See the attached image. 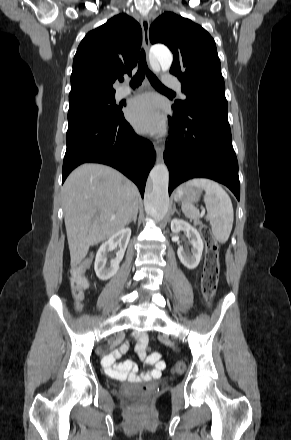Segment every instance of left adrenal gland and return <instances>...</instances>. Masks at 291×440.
I'll list each match as a JSON object with an SVG mask.
<instances>
[{
	"label": "left adrenal gland",
	"instance_id": "a2214340",
	"mask_svg": "<svg viewBox=\"0 0 291 440\" xmlns=\"http://www.w3.org/2000/svg\"><path fill=\"white\" fill-rule=\"evenodd\" d=\"M173 211H176V212L178 213V211H177V209H176V206H174V209H173Z\"/></svg>",
	"mask_w": 291,
	"mask_h": 440
}]
</instances>
